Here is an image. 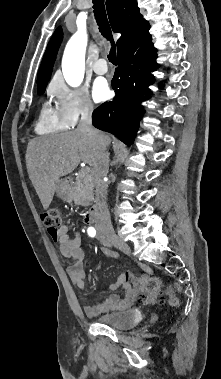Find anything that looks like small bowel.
<instances>
[{"instance_id":"1","label":"small bowel","mask_w":221,"mask_h":379,"mask_svg":"<svg viewBox=\"0 0 221 379\" xmlns=\"http://www.w3.org/2000/svg\"><path fill=\"white\" fill-rule=\"evenodd\" d=\"M52 239L59 244L61 254L74 260V263L66 269L70 281L80 290H85L86 272L91 271V264H83L85 253L81 247V236L75 232L72 237L69 235V227L65 224L60 225L55 235L50 234ZM107 254H110L106 251ZM93 258V255H90ZM121 287L123 295L110 293L105 299L87 304L84 306V312L88 316H95L99 313L125 310L130 308L137 299L143 295L146 290V281L143 277H135L129 271L121 273L115 283L110 284L106 290L115 291Z\"/></svg>"}]
</instances>
